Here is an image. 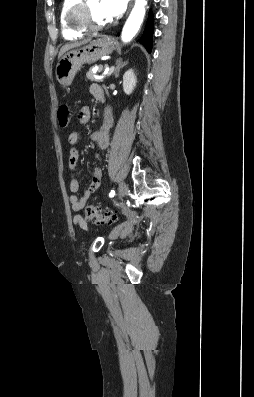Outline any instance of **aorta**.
Masks as SVG:
<instances>
[{
	"instance_id": "aorta-1",
	"label": "aorta",
	"mask_w": 254,
	"mask_h": 397,
	"mask_svg": "<svg viewBox=\"0 0 254 397\" xmlns=\"http://www.w3.org/2000/svg\"><path fill=\"white\" fill-rule=\"evenodd\" d=\"M146 0H135V5L123 27L121 38L123 42H129L137 34L145 15Z\"/></svg>"
}]
</instances>
